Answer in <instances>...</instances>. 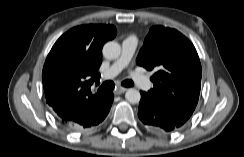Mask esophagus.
Listing matches in <instances>:
<instances>
[{"mask_svg": "<svg viewBox=\"0 0 244 157\" xmlns=\"http://www.w3.org/2000/svg\"><path fill=\"white\" fill-rule=\"evenodd\" d=\"M126 90H127V88L118 86V87L115 89L114 93L117 94V95H119V94L124 93Z\"/></svg>", "mask_w": 244, "mask_h": 157, "instance_id": "34e87169", "label": "esophagus"}]
</instances>
